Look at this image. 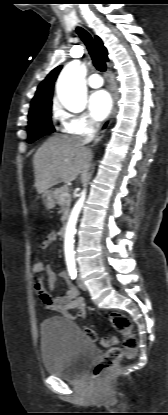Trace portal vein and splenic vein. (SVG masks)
I'll use <instances>...</instances> for the list:
<instances>
[{"label": "portal vein and splenic vein", "instance_id": "portal-vein-and-splenic-vein-1", "mask_svg": "<svg viewBox=\"0 0 168 415\" xmlns=\"http://www.w3.org/2000/svg\"><path fill=\"white\" fill-rule=\"evenodd\" d=\"M67 195H68V192H65L62 194V196H67Z\"/></svg>", "mask_w": 168, "mask_h": 415}]
</instances>
